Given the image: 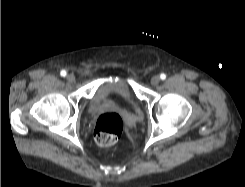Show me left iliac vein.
Returning a JSON list of instances; mask_svg holds the SVG:
<instances>
[{"label":"left iliac vein","mask_w":245,"mask_h":187,"mask_svg":"<svg viewBox=\"0 0 245 187\" xmlns=\"http://www.w3.org/2000/svg\"><path fill=\"white\" fill-rule=\"evenodd\" d=\"M159 82H160V77L157 76V75L153 76V77L151 78V80H150V83H151V85H153V86L158 85Z\"/></svg>","instance_id":"4c4485c4"}]
</instances>
